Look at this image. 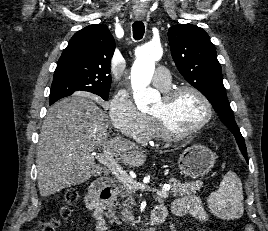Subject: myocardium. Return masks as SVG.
<instances>
[{"label": "myocardium", "instance_id": "myocardium-1", "mask_svg": "<svg viewBox=\"0 0 268 231\" xmlns=\"http://www.w3.org/2000/svg\"><path fill=\"white\" fill-rule=\"evenodd\" d=\"M183 92H190L197 96L203 103L205 107V115L203 119L192 129L185 132H175L168 121L167 109L173 103L176 97H178ZM163 101V111L159 114H151L161 136L169 141H182L193 137L199 133L212 119L213 108L209 98L198 88L191 85H179L174 88H170L164 91L162 95Z\"/></svg>", "mask_w": 268, "mask_h": 231}]
</instances>
